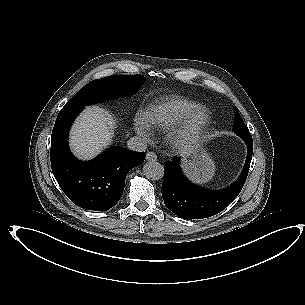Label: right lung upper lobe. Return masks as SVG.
Masks as SVG:
<instances>
[{"label": "right lung upper lobe", "instance_id": "cb5924a9", "mask_svg": "<svg viewBox=\"0 0 305 305\" xmlns=\"http://www.w3.org/2000/svg\"><path fill=\"white\" fill-rule=\"evenodd\" d=\"M128 76H132V77H142L141 75H128Z\"/></svg>", "mask_w": 305, "mask_h": 305}]
</instances>
